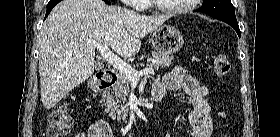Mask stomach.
Here are the masks:
<instances>
[{"instance_id": "0dacf381", "label": "stomach", "mask_w": 280, "mask_h": 137, "mask_svg": "<svg viewBox=\"0 0 280 137\" xmlns=\"http://www.w3.org/2000/svg\"><path fill=\"white\" fill-rule=\"evenodd\" d=\"M154 49L161 55H171L178 52L183 46V36L172 25H161L151 34Z\"/></svg>"}]
</instances>
